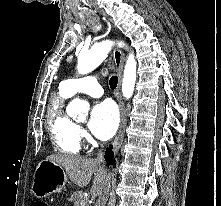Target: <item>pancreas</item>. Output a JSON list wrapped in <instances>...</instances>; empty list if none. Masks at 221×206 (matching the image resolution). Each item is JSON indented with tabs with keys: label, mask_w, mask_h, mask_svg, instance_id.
Returning a JSON list of instances; mask_svg holds the SVG:
<instances>
[{
	"label": "pancreas",
	"mask_w": 221,
	"mask_h": 206,
	"mask_svg": "<svg viewBox=\"0 0 221 206\" xmlns=\"http://www.w3.org/2000/svg\"><path fill=\"white\" fill-rule=\"evenodd\" d=\"M70 200L74 202V206H88L87 198H85L83 192L81 191L73 193Z\"/></svg>",
	"instance_id": "obj_1"
}]
</instances>
